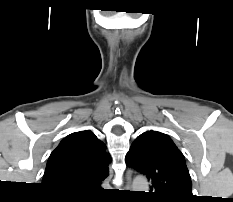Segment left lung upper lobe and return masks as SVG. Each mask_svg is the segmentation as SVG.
<instances>
[{
  "label": "left lung upper lobe",
  "instance_id": "1",
  "mask_svg": "<svg viewBox=\"0 0 233 202\" xmlns=\"http://www.w3.org/2000/svg\"><path fill=\"white\" fill-rule=\"evenodd\" d=\"M126 163L150 181L149 197L156 202H190L192 183L185 159L169 136L146 131L132 143Z\"/></svg>",
  "mask_w": 233,
  "mask_h": 202
}]
</instances>
